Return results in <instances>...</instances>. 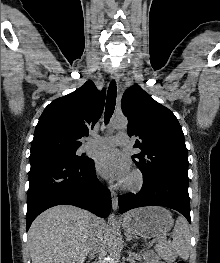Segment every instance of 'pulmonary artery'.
Masks as SVG:
<instances>
[{
	"label": "pulmonary artery",
	"instance_id": "1",
	"mask_svg": "<svg viewBox=\"0 0 220 263\" xmlns=\"http://www.w3.org/2000/svg\"><path fill=\"white\" fill-rule=\"evenodd\" d=\"M129 143L130 137L126 133L122 132L117 134L116 136H105L95 139H89L82 145L81 150L87 151L95 148H109L114 145H126Z\"/></svg>",
	"mask_w": 220,
	"mask_h": 263
}]
</instances>
